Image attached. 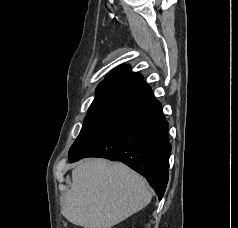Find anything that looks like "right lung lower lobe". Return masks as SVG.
Returning <instances> with one entry per match:
<instances>
[{"mask_svg":"<svg viewBox=\"0 0 238 228\" xmlns=\"http://www.w3.org/2000/svg\"><path fill=\"white\" fill-rule=\"evenodd\" d=\"M170 151L168 123L160 102L154 99L114 120L70 153L69 161L84 157L121 161L143 175L161 200L168 182Z\"/></svg>","mask_w":238,"mask_h":228,"instance_id":"obj_1","label":"right lung lower lobe"}]
</instances>
